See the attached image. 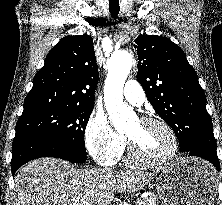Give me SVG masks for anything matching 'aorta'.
Returning <instances> with one entry per match:
<instances>
[{"label":"aorta","instance_id":"aorta-1","mask_svg":"<svg viewBox=\"0 0 222 205\" xmlns=\"http://www.w3.org/2000/svg\"><path fill=\"white\" fill-rule=\"evenodd\" d=\"M108 74L104 85V102L112 124L119 132L127 129L135 118L132 108L123 102V87L133 64L128 51L113 53L108 60Z\"/></svg>","mask_w":222,"mask_h":205}]
</instances>
